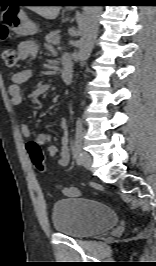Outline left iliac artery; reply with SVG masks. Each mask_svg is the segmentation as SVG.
<instances>
[{
	"instance_id": "obj_1",
	"label": "left iliac artery",
	"mask_w": 156,
	"mask_h": 266,
	"mask_svg": "<svg viewBox=\"0 0 156 266\" xmlns=\"http://www.w3.org/2000/svg\"><path fill=\"white\" fill-rule=\"evenodd\" d=\"M82 139H83V125L80 118L76 122L75 142L73 146V155L75 158H79L82 151Z\"/></svg>"
}]
</instances>
